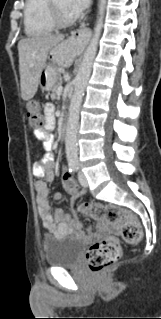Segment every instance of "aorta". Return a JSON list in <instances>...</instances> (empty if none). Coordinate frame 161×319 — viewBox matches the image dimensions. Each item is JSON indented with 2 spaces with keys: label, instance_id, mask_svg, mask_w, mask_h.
<instances>
[{
  "label": "aorta",
  "instance_id": "obj_1",
  "mask_svg": "<svg viewBox=\"0 0 161 319\" xmlns=\"http://www.w3.org/2000/svg\"><path fill=\"white\" fill-rule=\"evenodd\" d=\"M106 0H99L98 20L94 28L93 37L86 48L78 73L73 81L74 93L69 106V116L66 128V157L69 166L78 165L77 153V130L79 122V112L87 82L90 78L93 62L97 53L98 41L103 27Z\"/></svg>",
  "mask_w": 161,
  "mask_h": 319
}]
</instances>
